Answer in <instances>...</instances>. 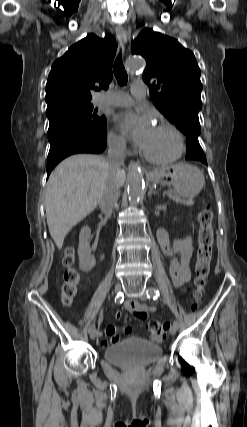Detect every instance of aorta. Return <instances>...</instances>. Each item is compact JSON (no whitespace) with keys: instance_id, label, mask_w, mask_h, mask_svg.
Wrapping results in <instances>:
<instances>
[{"instance_id":"obj_1","label":"aorta","mask_w":247,"mask_h":427,"mask_svg":"<svg viewBox=\"0 0 247 427\" xmlns=\"http://www.w3.org/2000/svg\"><path fill=\"white\" fill-rule=\"evenodd\" d=\"M145 65L141 57H131L127 60V69L130 74H135ZM145 196V182L139 168L132 170L128 180V199L131 205L136 206Z\"/></svg>"}]
</instances>
